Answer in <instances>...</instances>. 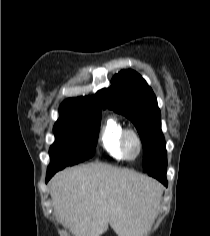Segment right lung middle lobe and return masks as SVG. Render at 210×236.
Returning <instances> with one entry per match:
<instances>
[{
  "mask_svg": "<svg viewBox=\"0 0 210 236\" xmlns=\"http://www.w3.org/2000/svg\"><path fill=\"white\" fill-rule=\"evenodd\" d=\"M101 111H60L54 125L55 142L49 150L50 165H74L91 158L100 128Z\"/></svg>",
  "mask_w": 210,
  "mask_h": 236,
  "instance_id": "right-lung-middle-lobe-1",
  "label": "right lung middle lobe"
}]
</instances>
